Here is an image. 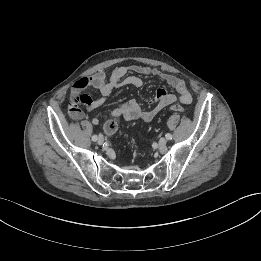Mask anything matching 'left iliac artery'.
Instances as JSON below:
<instances>
[{"instance_id": "1", "label": "left iliac artery", "mask_w": 261, "mask_h": 261, "mask_svg": "<svg viewBox=\"0 0 261 261\" xmlns=\"http://www.w3.org/2000/svg\"><path fill=\"white\" fill-rule=\"evenodd\" d=\"M165 137H166V139H168V140H171V139H172V135H171L170 133H166V134H165Z\"/></svg>"}]
</instances>
